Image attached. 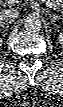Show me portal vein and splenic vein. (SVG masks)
<instances>
[{
	"label": "portal vein and splenic vein",
	"instance_id": "obj_1",
	"mask_svg": "<svg viewBox=\"0 0 63 107\" xmlns=\"http://www.w3.org/2000/svg\"><path fill=\"white\" fill-rule=\"evenodd\" d=\"M43 2H44V3L46 4V6H48L49 8H53L54 10L57 9L51 0H43ZM8 3H12V1L9 0ZM60 10H61V9H60Z\"/></svg>",
	"mask_w": 63,
	"mask_h": 107
}]
</instances>
